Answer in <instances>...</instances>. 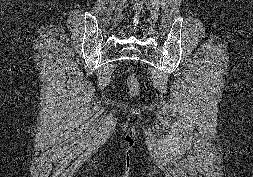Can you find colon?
<instances>
[{
	"mask_svg": "<svg viewBox=\"0 0 253 177\" xmlns=\"http://www.w3.org/2000/svg\"><path fill=\"white\" fill-rule=\"evenodd\" d=\"M127 85L132 95H136L138 93L139 83H138L137 78L134 75L130 74L127 76Z\"/></svg>",
	"mask_w": 253,
	"mask_h": 177,
	"instance_id": "5ec220e1",
	"label": "colon"
}]
</instances>
